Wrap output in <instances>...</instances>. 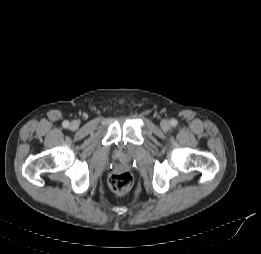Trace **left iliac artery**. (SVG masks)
I'll return each mask as SVG.
<instances>
[{
	"instance_id": "44dca946",
	"label": "left iliac artery",
	"mask_w": 261,
	"mask_h": 254,
	"mask_svg": "<svg viewBox=\"0 0 261 254\" xmlns=\"http://www.w3.org/2000/svg\"><path fill=\"white\" fill-rule=\"evenodd\" d=\"M170 123H171V125H172L173 127H175V126H177L178 121H177L176 119H172Z\"/></svg>"
}]
</instances>
